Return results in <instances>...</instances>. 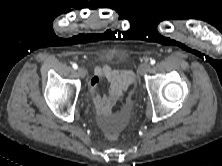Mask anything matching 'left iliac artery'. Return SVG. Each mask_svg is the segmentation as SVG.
<instances>
[{
	"mask_svg": "<svg viewBox=\"0 0 222 166\" xmlns=\"http://www.w3.org/2000/svg\"><path fill=\"white\" fill-rule=\"evenodd\" d=\"M155 63H156L155 59H151V60H150V64H151V65H154Z\"/></svg>",
	"mask_w": 222,
	"mask_h": 166,
	"instance_id": "left-iliac-artery-1",
	"label": "left iliac artery"
}]
</instances>
